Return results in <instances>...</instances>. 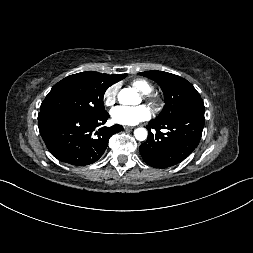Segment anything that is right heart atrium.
I'll use <instances>...</instances> for the list:
<instances>
[{"label":"right heart atrium","mask_w":253,"mask_h":253,"mask_svg":"<svg viewBox=\"0 0 253 253\" xmlns=\"http://www.w3.org/2000/svg\"><path fill=\"white\" fill-rule=\"evenodd\" d=\"M119 85L112 84L108 86L103 93V102L106 106L112 107L118 96Z\"/></svg>","instance_id":"d8ad5b80"}]
</instances>
